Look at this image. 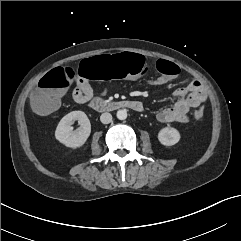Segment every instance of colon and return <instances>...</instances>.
<instances>
[{"label":"colon","instance_id":"obj_1","mask_svg":"<svg viewBox=\"0 0 241 241\" xmlns=\"http://www.w3.org/2000/svg\"><path fill=\"white\" fill-rule=\"evenodd\" d=\"M149 66L145 60L128 51L106 53L102 57L95 56L78 63L76 71L80 78L113 79L139 76L146 73ZM156 69L163 75L175 77L179 74V67L170 61L160 59L156 62ZM74 78V72L67 67H57L37 83V88L31 97V106L38 113H48L59 103L65 89ZM194 117L200 120L204 117L203 108L195 110Z\"/></svg>","mask_w":241,"mask_h":241}]
</instances>
